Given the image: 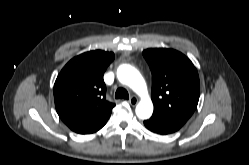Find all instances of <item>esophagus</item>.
Returning <instances> with one entry per match:
<instances>
[{
    "instance_id": "obj_1",
    "label": "esophagus",
    "mask_w": 249,
    "mask_h": 165,
    "mask_svg": "<svg viewBox=\"0 0 249 165\" xmlns=\"http://www.w3.org/2000/svg\"><path fill=\"white\" fill-rule=\"evenodd\" d=\"M129 104L132 106H135L138 103V98L136 96H132L129 100H128Z\"/></svg>"
}]
</instances>
